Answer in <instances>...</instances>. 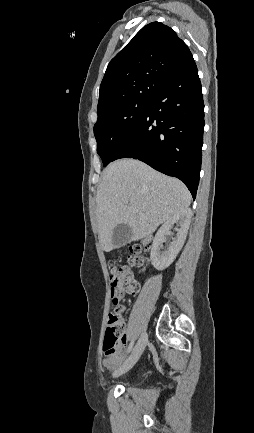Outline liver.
Instances as JSON below:
<instances>
[{
    "mask_svg": "<svg viewBox=\"0 0 254 433\" xmlns=\"http://www.w3.org/2000/svg\"><path fill=\"white\" fill-rule=\"evenodd\" d=\"M190 202L189 190L178 179L163 175L135 159L112 162L103 172L96 196L102 249L106 252L114 249L112 235L117 225L131 227V240L136 241L187 209Z\"/></svg>",
    "mask_w": 254,
    "mask_h": 433,
    "instance_id": "obj_1",
    "label": "liver"
}]
</instances>
